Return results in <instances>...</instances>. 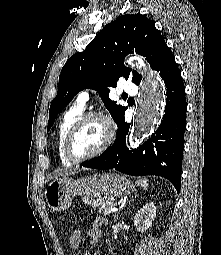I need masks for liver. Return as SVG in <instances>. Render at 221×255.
I'll return each instance as SVG.
<instances>
[{"mask_svg":"<svg viewBox=\"0 0 221 255\" xmlns=\"http://www.w3.org/2000/svg\"><path fill=\"white\" fill-rule=\"evenodd\" d=\"M77 171L76 170H59L56 172L54 177H64V176H69L75 174Z\"/></svg>","mask_w":221,"mask_h":255,"instance_id":"obj_1","label":"liver"}]
</instances>
